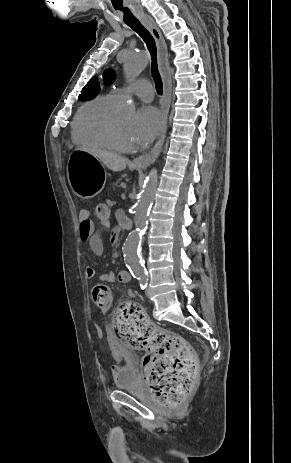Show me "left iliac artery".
Returning a JSON list of instances; mask_svg holds the SVG:
<instances>
[{
	"label": "left iliac artery",
	"mask_w": 291,
	"mask_h": 463,
	"mask_svg": "<svg viewBox=\"0 0 291 463\" xmlns=\"http://www.w3.org/2000/svg\"><path fill=\"white\" fill-rule=\"evenodd\" d=\"M138 280H139L141 289L144 290L147 287L148 278L145 276H142V277H138Z\"/></svg>",
	"instance_id": "left-iliac-artery-1"
}]
</instances>
